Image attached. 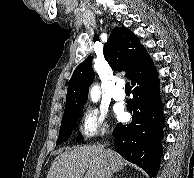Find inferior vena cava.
<instances>
[{
    "label": "inferior vena cava",
    "mask_w": 194,
    "mask_h": 178,
    "mask_svg": "<svg viewBox=\"0 0 194 178\" xmlns=\"http://www.w3.org/2000/svg\"><path fill=\"white\" fill-rule=\"evenodd\" d=\"M112 177V168L110 164H106L104 168V173L102 175V178H111Z\"/></svg>",
    "instance_id": "obj_1"
}]
</instances>
